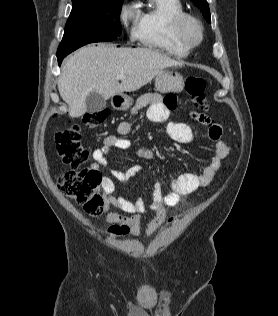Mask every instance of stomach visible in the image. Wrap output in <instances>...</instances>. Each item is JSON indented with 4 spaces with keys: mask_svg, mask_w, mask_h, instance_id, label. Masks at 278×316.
Masks as SVG:
<instances>
[{
    "mask_svg": "<svg viewBox=\"0 0 278 316\" xmlns=\"http://www.w3.org/2000/svg\"><path fill=\"white\" fill-rule=\"evenodd\" d=\"M155 86L160 93L180 92L183 89V77L176 72L162 70L155 79ZM132 98L118 94L111 99V105L116 110H127L132 106Z\"/></svg>",
    "mask_w": 278,
    "mask_h": 316,
    "instance_id": "stomach-1",
    "label": "stomach"
}]
</instances>
